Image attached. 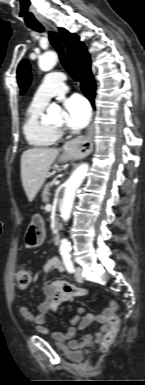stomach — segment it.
I'll use <instances>...</instances> for the list:
<instances>
[{
    "instance_id": "obj_1",
    "label": "stomach",
    "mask_w": 145,
    "mask_h": 385,
    "mask_svg": "<svg viewBox=\"0 0 145 385\" xmlns=\"http://www.w3.org/2000/svg\"><path fill=\"white\" fill-rule=\"evenodd\" d=\"M71 157L69 152H66L60 156L59 161H66ZM45 227L44 222L40 217L34 216L28 225L24 241L27 247L35 248L43 244L45 240Z\"/></svg>"
}]
</instances>
